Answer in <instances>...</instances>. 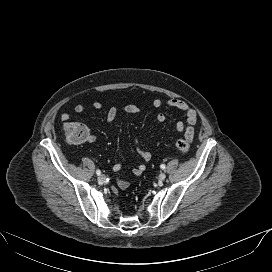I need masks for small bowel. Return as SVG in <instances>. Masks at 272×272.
<instances>
[{
  "label": "small bowel",
  "instance_id": "c3829d8e",
  "mask_svg": "<svg viewBox=\"0 0 272 272\" xmlns=\"http://www.w3.org/2000/svg\"><path fill=\"white\" fill-rule=\"evenodd\" d=\"M153 106L157 109L162 108L164 106L170 107V108H175L180 111H182L186 117V122L179 121L175 125V129L177 132L183 134L184 136H187L188 133H190L191 136V141L194 139L195 131H194V126L197 123L198 120V115L195 109L187 105L185 102L178 100V99H170L168 101H164L163 99H155L153 101ZM103 107V104L100 101H95L93 102V108L95 109H101ZM74 111L76 113H83L85 111V106L81 103H78L74 106ZM127 113V114H135L139 112V107L134 104H127L123 106H113L111 107L106 114V120L108 123H112L116 117L118 116L119 113ZM70 119V114L69 113H63L61 115V120L63 122H66ZM166 119L165 115L162 113H159L156 116V121L158 123L164 122ZM96 140L95 135H90L88 142L93 143ZM135 151L137 155L145 162H148L151 160V153L146 150L141 144L138 139L135 140ZM122 168L121 163H115L112 167V170L114 172L120 171ZM145 170V164L140 163L136 167L132 169V174L135 176H140ZM130 183L127 180L124 179H117L116 181V186L119 189H126L128 188ZM114 193L117 194V189L113 188Z\"/></svg>",
  "mask_w": 272,
  "mask_h": 272
}]
</instances>
